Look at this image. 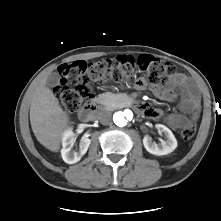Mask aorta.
I'll return each instance as SVG.
<instances>
[{"label":"aorta","instance_id":"762f6f07","mask_svg":"<svg viewBox=\"0 0 221 221\" xmlns=\"http://www.w3.org/2000/svg\"><path fill=\"white\" fill-rule=\"evenodd\" d=\"M133 119V112L130 109H125L124 111H119L114 114L113 121L119 126L123 127L127 124L128 121Z\"/></svg>","mask_w":221,"mask_h":221}]
</instances>
